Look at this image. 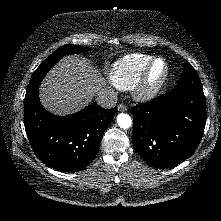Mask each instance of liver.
<instances>
[{"label": "liver", "instance_id": "6515ba94", "mask_svg": "<svg viewBox=\"0 0 221 221\" xmlns=\"http://www.w3.org/2000/svg\"><path fill=\"white\" fill-rule=\"evenodd\" d=\"M105 84L99 70L88 59L66 56L43 80L40 99L51 113L66 115L88 105Z\"/></svg>", "mask_w": 221, "mask_h": 221}]
</instances>
